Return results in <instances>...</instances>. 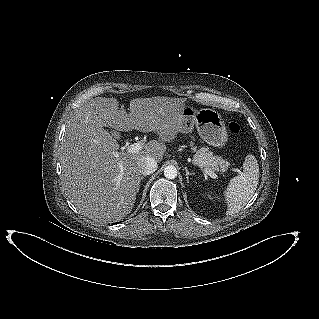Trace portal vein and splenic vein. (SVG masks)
I'll use <instances>...</instances> for the list:
<instances>
[{
	"instance_id": "1",
	"label": "portal vein and splenic vein",
	"mask_w": 319,
	"mask_h": 319,
	"mask_svg": "<svg viewBox=\"0 0 319 319\" xmlns=\"http://www.w3.org/2000/svg\"><path fill=\"white\" fill-rule=\"evenodd\" d=\"M143 148V144L141 142H137V143H133L131 144L130 146H128L127 148V152L128 153H138L139 151H141ZM120 169H121V172L120 174L118 175L117 177V181H120L121 180V177L123 176V165L120 164L119 165ZM236 172L240 173V170L238 169H235ZM204 172L209 175L211 178L213 179H216L217 178V175L212 171V170H207V169H204Z\"/></svg>"
}]
</instances>
